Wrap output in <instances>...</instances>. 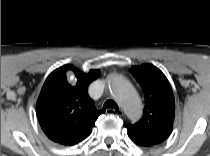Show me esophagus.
Instances as JSON below:
<instances>
[{
	"label": "esophagus",
	"instance_id": "34e87169",
	"mask_svg": "<svg viewBox=\"0 0 210 156\" xmlns=\"http://www.w3.org/2000/svg\"><path fill=\"white\" fill-rule=\"evenodd\" d=\"M111 112H115L119 116H123V114H124V112L121 109H118L116 111L114 109H111V108L106 109L107 114H110Z\"/></svg>",
	"mask_w": 210,
	"mask_h": 156
}]
</instances>
